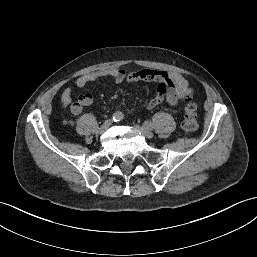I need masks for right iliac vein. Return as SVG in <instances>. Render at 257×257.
<instances>
[{
  "mask_svg": "<svg viewBox=\"0 0 257 257\" xmlns=\"http://www.w3.org/2000/svg\"><path fill=\"white\" fill-rule=\"evenodd\" d=\"M111 125V122L110 121H106L98 130V133L99 134H104L108 128L110 127Z\"/></svg>",
  "mask_w": 257,
  "mask_h": 257,
  "instance_id": "1",
  "label": "right iliac vein"
}]
</instances>
